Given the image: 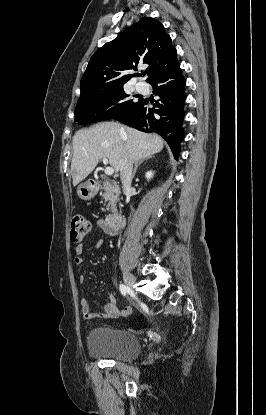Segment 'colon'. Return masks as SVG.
<instances>
[{"label":"colon","mask_w":266,"mask_h":415,"mask_svg":"<svg viewBox=\"0 0 266 415\" xmlns=\"http://www.w3.org/2000/svg\"><path fill=\"white\" fill-rule=\"evenodd\" d=\"M90 222L83 216H75L71 220L70 238L73 242L81 241L89 232Z\"/></svg>","instance_id":"1"}]
</instances>
